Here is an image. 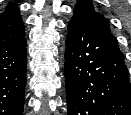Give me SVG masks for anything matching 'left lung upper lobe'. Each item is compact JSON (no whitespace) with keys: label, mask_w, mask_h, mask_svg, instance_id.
I'll return each mask as SVG.
<instances>
[{"label":"left lung upper lobe","mask_w":131,"mask_h":115,"mask_svg":"<svg viewBox=\"0 0 131 115\" xmlns=\"http://www.w3.org/2000/svg\"><path fill=\"white\" fill-rule=\"evenodd\" d=\"M72 18L79 19L87 27L99 34L107 42L113 44L115 48L119 50L118 42L111 34L107 20L100 13L95 11L90 0L77 1Z\"/></svg>","instance_id":"obj_1"}]
</instances>
